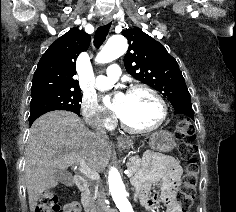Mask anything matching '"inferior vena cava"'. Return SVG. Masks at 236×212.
I'll return each instance as SVG.
<instances>
[{
  "mask_svg": "<svg viewBox=\"0 0 236 212\" xmlns=\"http://www.w3.org/2000/svg\"><path fill=\"white\" fill-rule=\"evenodd\" d=\"M96 134L98 136L102 137V138H108V135H107L106 131L103 130V129H100ZM103 201H104V194H103V192H101L100 195H99V204H100V206L103 205ZM98 212H102V208H99Z\"/></svg>",
  "mask_w": 236,
  "mask_h": 212,
  "instance_id": "602c4592",
  "label": "inferior vena cava"
}]
</instances>
